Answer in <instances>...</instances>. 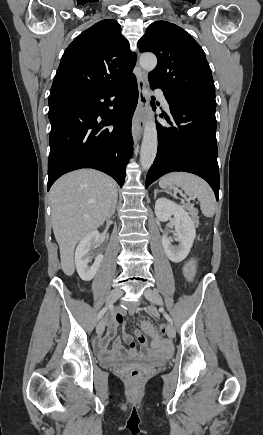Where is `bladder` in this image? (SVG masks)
<instances>
[{
    "instance_id": "bladder-1",
    "label": "bladder",
    "mask_w": 263,
    "mask_h": 435,
    "mask_svg": "<svg viewBox=\"0 0 263 435\" xmlns=\"http://www.w3.org/2000/svg\"><path fill=\"white\" fill-rule=\"evenodd\" d=\"M106 362H107V364L109 366H116V365L122 363L123 361H121V360H108ZM142 362H144V363H151V364H158V363H162L163 360H159V359H145V360H142Z\"/></svg>"
}]
</instances>
